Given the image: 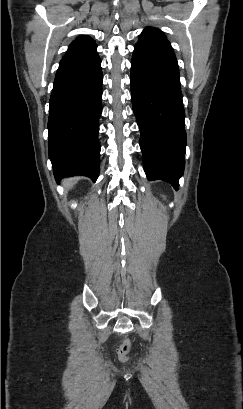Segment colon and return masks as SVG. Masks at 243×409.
<instances>
[{"label": "colon", "mask_w": 243, "mask_h": 409, "mask_svg": "<svg viewBox=\"0 0 243 409\" xmlns=\"http://www.w3.org/2000/svg\"><path fill=\"white\" fill-rule=\"evenodd\" d=\"M130 349H131L130 341L129 340L124 341L117 351V357L122 361L127 360Z\"/></svg>", "instance_id": "obj_1"}]
</instances>
